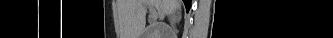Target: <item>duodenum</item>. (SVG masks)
<instances>
[{
  "instance_id": "obj_1",
  "label": "duodenum",
  "mask_w": 333,
  "mask_h": 38,
  "mask_svg": "<svg viewBox=\"0 0 333 38\" xmlns=\"http://www.w3.org/2000/svg\"><path fill=\"white\" fill-rule=\"evenodd\" d=\"M147 36H148V32L145 31V32L143 33L142 37H143V38H146Z\"/></svg>"
}]
</instances>
